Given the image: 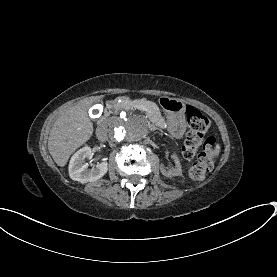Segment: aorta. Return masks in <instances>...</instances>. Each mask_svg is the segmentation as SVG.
I'll return each mask as SVG.
<instances>
[{"instance_id": "obj_1", "label": "aorta", "mask_w": 277, "mask_h": 277, "mask_svg": "<svg viewBox=\"0 0 277 277\" xmlns=\"http://www.w3.org/2000/svg\"><path fill=\"white\" fill-rule=\"evenodd\" d=\"M149 123L140 115H123L111 120L110 138L117 144L132 145L141 142L148 135Z\"/></svg>"}]
</instances>
